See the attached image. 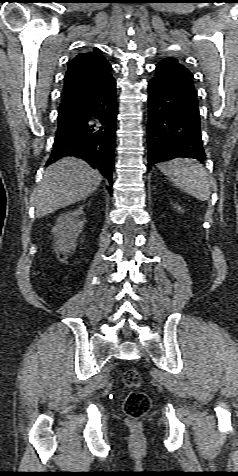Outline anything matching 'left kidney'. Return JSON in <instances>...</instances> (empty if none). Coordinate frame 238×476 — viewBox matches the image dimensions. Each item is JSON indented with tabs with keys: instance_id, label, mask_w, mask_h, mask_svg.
Wrapping results in <instances>:
<instances>
[{
	"instance_id": "5707ae66",
	"label": "left kidney",
	"mask_w": 238,
	"mask_h": 476,
	"mask_svg": "<svg viewBox=\"0 0 238 476\" xmlns=\"http://www.w3.org/2000/svg\"><path fill=\"white\" fill-rule=\"evenodd\" d=\"M175 208L179 211V212H183V209L180 207V206H175Z\"/></svg>"
}]
</instances>
